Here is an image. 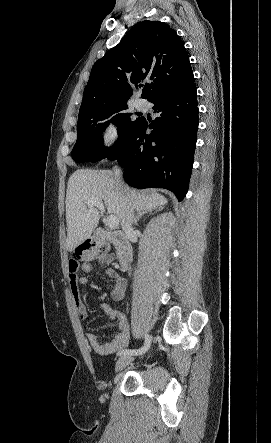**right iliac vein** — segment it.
Here are the masks:
<instances>
[{"label":"right iliac vein","mask_w":271,"mask_h":443,"mask_svg":"<svg viewBox=\"0 0 271 443\" xmlns=\"http://www.w3.org/2000/svg\"><path fill=\"white\" fill-rule=\"evenodd\" d=\"M134 360L133 355H123L121 356L115 365V372H120L123 370L127 365H129Z\"/></svg>","instance_id":"63e3f726"}]
</instances>
